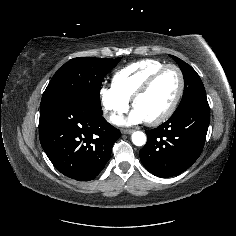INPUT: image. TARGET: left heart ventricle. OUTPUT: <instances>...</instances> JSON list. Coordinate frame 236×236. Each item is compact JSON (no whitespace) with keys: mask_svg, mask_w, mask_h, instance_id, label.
<instances>
[{"mask_svg":"<svg viewBox=\"0 0 236 236\" xmlns=\"http://www.w3.org/2000/svg\"><path fill=\"white\" fill-rule=\"evenodd\" d=\"M179 87V78L173 69L164 72L150 90L140 97L134 109L147 120L160 116L170 106Z\"/></svg>","mask_w":236,"mask_h":236,"instance_id":"left-heart-ventricle-1","label":"left heart ventricle"}]
</instances>
